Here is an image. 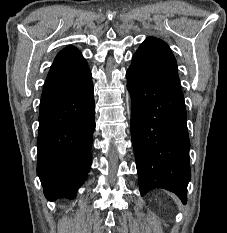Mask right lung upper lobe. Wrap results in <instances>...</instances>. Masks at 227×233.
Listing matches in <instances>:
<instances>
[{
	"instance_id": "obj_1",
	"label": "right lung upper lobe",
	"mask_w": 227,
	"mask_h": 233,
	"mask_svg": "<svg viewBox=\"0 0 227 233\" xmlns=\"http://www.w3.org/2000/svg\"><path fill=\"white\" fill-rule=\"evenodd\" d=\"M91 80L86 60L73 46L61 50L46 78L40 108L50 105L69 95Z\"/></svg>"
}]
</instances>
